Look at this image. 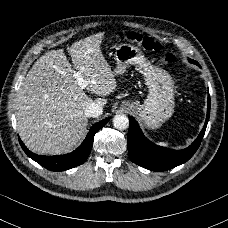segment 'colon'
I'll return each mask as SVG.
<instances>
[{
    "label": "colon",
    "instance_id": "5ec220e1",
    "mask_svg": "<svg viewBox=\"0 0 228 228\" xmlns=\"http://www.w3.org/2000/svg\"><path fill=\"white\" fill-rule=\"evenodd\" d=\"M119 36H120V39L127 40L131 43H135L141 46L144 50L160 51L162 49V46L159 42L155 41L152 38L145 37L142 34L137 32H121ZM162 56H163V60L166 63L174 64L176 62V57L171 52L164 51Z\"/></svg>",
    "mask_w": 228,
    "mask_h": 228
}]
</instances>
